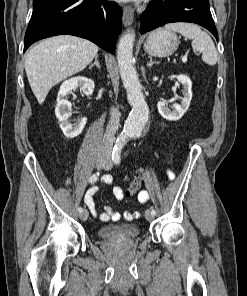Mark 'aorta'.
<instances>
[{
  "label": "aorta",
  "mask_w": 247,
  "mask_h": 296,
  "mask_svg": "<svg viewBox=\"0 0 247 296\" xmlns=\"http://www.w3.org/2000/svg\"><path fill=\"white\" fill-rule=\"evenodd\" d=\"M134 32L123 34L117 47V61L123 86L132 110L125 122L123 132L118 137L117 146L122 148L128 137L141 135L149 118V109L142 92L137 71L133 66Z\"/></svg>",
  "instance_id": "762f6f07"
}]
</instances>
